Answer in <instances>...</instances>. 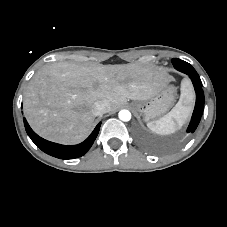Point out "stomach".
<instances>
[{"instance_id":"0dacf381","label":"stomach","mask_w":227,"mask_h":227,"mask_svg":"<svg viewBox=\"0 0 227 227\" xmlns=\"http://www.w3.org/2000/svg\"><path fill=\"white\" fill-rule=\"evenodd\" d=\"M175 98L176 88L167 85L154 97L145 101L133 102L132 107L143 116L144 121L148 122L165 114L174 103Z\"/></svg>"}]
</instances>
